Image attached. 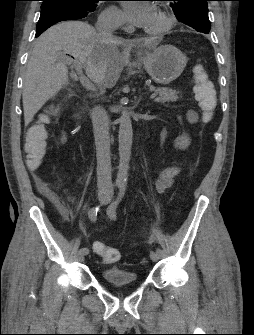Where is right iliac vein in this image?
<instances>
[{
  "instance_id": "right-iliac-vein-1",
  "label": "right iliac vein",
  "mask_w": 254,
  "mask_h": 335,
  "mask_svg": "<svg viewBox=\"0 0 254 335\" xmlns=\"http://www.w3.org/2000/svg\"><path fill=\"white\" fill-rule=\"evenodd\" d=\"M108 199H109V195H108L107 192H101V193H99V200H100L101 203H107V202H108ZM85 255H86V254H85L84 252H82L81 250H79V251L77 252V260H78L79 262L84 261V259H85Z\"/></svg>"
}]
</instances>
